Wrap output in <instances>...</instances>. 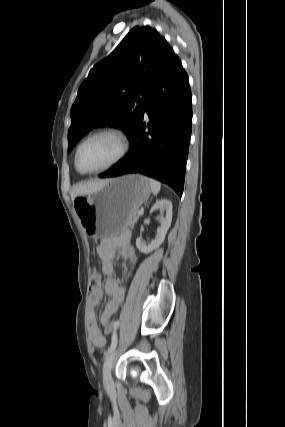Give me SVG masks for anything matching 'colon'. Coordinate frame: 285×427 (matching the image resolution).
Returning a JSON list of instances; mask_svg holds the SVG:
<instances>
[{
    "mask_svg": "<svg viewBox=\"0 0 285 427\" xmlns=\"http://www.w3.org/2000/svg\"><path fill=\"white\" fill-rule=\"evenodd\" d=\"M101 283H102V278L101 275L97 272H93L91 274V278H90V288L93 289H97L101 287ZM116 330V324L115 325H108L106 327V333L107 334H113Z\"/></svg>",
    "mask_w": 285,
    "mask_h": 427,
    "instance_id": "1",
    "label": "colon"
}]
</instances>
